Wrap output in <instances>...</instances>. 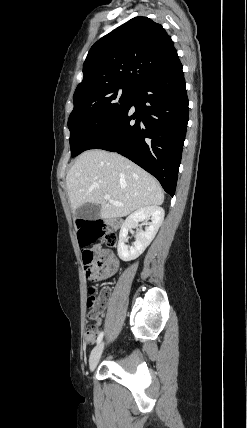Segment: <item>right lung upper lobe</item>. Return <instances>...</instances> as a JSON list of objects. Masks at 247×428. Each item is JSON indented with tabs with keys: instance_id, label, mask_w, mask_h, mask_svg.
<instances>
[{
	"instance_id": "right-lung-upper-lobe-1",
	"label": "right lung upper lobe",
	"mask_w": 247,
	"mask_h": 428,
	"mask_svg": "<svg viewBox=\"0 0 247 428\" xmlns=\"http://www.w3.org/2000/svg\"><path fill=\"white\" fill-rule=\"evenodd\" d=\"M178 58L164 28L135 17L98 40L84 62L83 81L73 98L115 86L137 89Z\"/></svg>"
}]
</instances>
